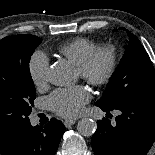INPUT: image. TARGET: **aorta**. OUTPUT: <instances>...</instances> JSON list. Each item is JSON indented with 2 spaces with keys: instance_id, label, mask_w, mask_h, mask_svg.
I'll return each instance as SVG.
<instances>
[{
  "instance_id": "obj_1",
  "label": "aorta",
  "mask_w": 155,
  "mask_h": 155,
  "mask_svg": "<svg viewBox=\"0 0 155 155\" xmlns=\"http://www.w3.org/2000/svg\"><path fill=\"white\" fill-rule=\"evenodd\" d=\"M73 79V69L63 61L53 64L48 71L49 82L56 86L71 84ZM77 130L83 136H92L96 131V123L91 118H83L78 122Z\"/></svg>"
}]
</instances>
